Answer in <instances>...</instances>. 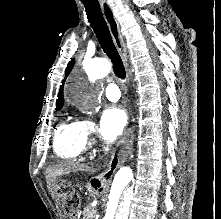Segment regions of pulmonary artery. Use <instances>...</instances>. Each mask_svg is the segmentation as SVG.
<instances>
[{"label": "pulmonary artery", "instance_id": "1", "mask_svg": "<svg viewBox=\"0 0 221 219\" xmlns=\"http://www.w3.org/2000/svg\"><path fill=\"white\" fill-rule=\"evenodd\" d=\"M105 96L110 101H117L121 97L120 90L116 84H109L105 88Z\"/></svg>", "mask_w": 221, "mask_h": 219}]
</instances>
